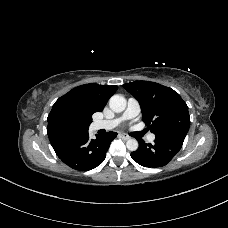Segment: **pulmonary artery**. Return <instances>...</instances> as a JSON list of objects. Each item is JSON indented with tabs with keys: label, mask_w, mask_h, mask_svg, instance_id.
Masks as SVG:
<instances>
[{
	"label": "pulmonary artery",
	"mask_w": 228,
	"mask_h": 228,
	"mask_svg": "<svg viewBox=\"0 0 228 228\" xmlns=\"http://www.w3.org/2000/svg\"><path fill=\"white\" fill-rule=\"evenodd\" d=\"M140 110H141V108H140L139 102L135 98L130 97L127 101V107H126L124 113L120 117L110 119V120L95 121L93 123V128L95 130H99V129L109 130V129L115 128L124 120L132 119V118H135L136 116H138L140 113ZM154 139H155L154 134H150L148 136L149 141H153Z\"/></svg>",
	"instance_id": "1"
}]
</instances>
